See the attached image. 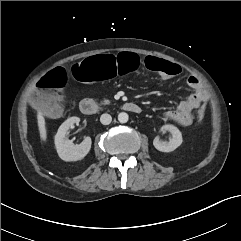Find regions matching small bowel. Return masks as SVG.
<instances>
[{"label":"small bowel","instance_id":"c3829d8e","mask_svg":"<svg viewBox=\"0 0 241 241\" xmlns=\"http://www.w3.org/2000/svg\"><path fill=\"white\" fill-rule=\"evenodd\" d=\"M187 84L194 92L186 99L182 100L175 110L166 112L167 118L176 121L182 126H190L192 124V111L199 108L207 99V92L196 76H189L187 78Z\"/></svg>","mask_w":241,"mask_h":241}]
</instances>
